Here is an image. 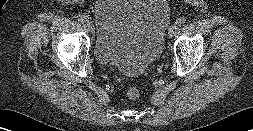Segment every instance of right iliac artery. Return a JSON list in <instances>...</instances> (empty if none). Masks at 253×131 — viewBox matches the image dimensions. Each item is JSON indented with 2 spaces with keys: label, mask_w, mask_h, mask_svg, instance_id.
<instances>
[{
  "label": "right iliac artery",
  "mask_w": 253,
  "mask_h": 131,
  "mask_svg": "<svg viewBox=\"0 0 253 131\" xmlns=\"http://www.w3.org/2000/svg\"><path fill=\"white\" fill-rule=\"evenodd\" d=\"M76 18L81 23H84L87 21V18L84 15H77Z\"/></svg>",
  "instance_id": "1"
}]
</instances>
